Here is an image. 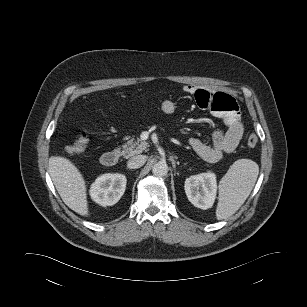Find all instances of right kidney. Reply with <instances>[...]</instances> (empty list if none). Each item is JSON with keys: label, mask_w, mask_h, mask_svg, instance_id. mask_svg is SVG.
<instances>
[{"label": "right kidney", "mask_w": 307, "mask_h": 307, "mask_svg": "<svg viewBox=\"0 0 307 307\" xmlns=\"http://www.w3.org/2000/svg\"><path fill=\"white\" fill-rule=\"evenodd\" d=\"M126 182L127 179L123 174H103L91 185V198L101 206H112L124 194Z\"/></svg>", "instance_id": "1"}]
</instances>
